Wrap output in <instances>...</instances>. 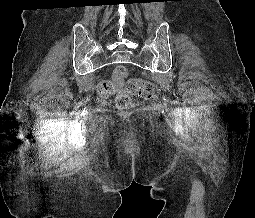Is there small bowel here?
I'll list each match as a JSON object with an SVG mask.
<instances>
[{"instance_id": "c3829d8e", "label": "small bowel", "mask_w": 255, "mask_h": 218, "mask_svg": "<svg viewBox=\"0 0 255 218\" xmlns=\"http://www.w3.org/2000/svg\"><path fill=\"white\" fill-rule=\"evenodd\" d=\"M105 82V81H104ZM122 82L119 83V86H121ZM99 87V86H98ZM100 94V93H99ZM101 95V94H100ZM102 96V95H101Z\"/></svg>"}]
</instances>
